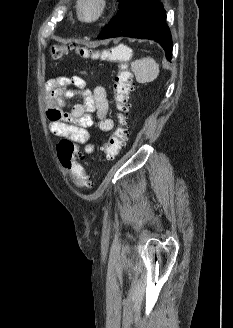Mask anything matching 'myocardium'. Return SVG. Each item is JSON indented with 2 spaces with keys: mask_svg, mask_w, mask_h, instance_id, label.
Returning <instances> with one entry per match:
<instances>
[{
  "mask_svg": "<svg viewBox=\"0 0 233 328\" xmlns=\"http://www.w3.org/2000/svg\"><path fill=\"white\" fill-rule=\"evenodd\" d=\"M87 0H77V15L80 21L91 24L99 21L108 8V1L107 0H94L96 4V10L91 16H85V9L84 5Z\"/></svg>",
  "mask_w": 233,
  "mask_h": 328,
  "instance_id": "f54148a6",
  "label": "myocardium"
}]
</instances>
